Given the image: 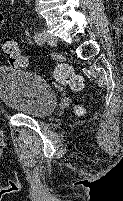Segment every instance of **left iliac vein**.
Here are the masks:
<instances>
[{
	"instance_id": "obj_1",
	"label": "left iliac vein",
	"mask_w": 123,
	"mask_h": 201,
	"mask_svg": "<svg viewBox=\"0 0 123 201\" xmlns=\"http://www.w3.org/2000/svg\"><path fill=\"white\" fill-rule=\"evenodd\" d=\"M40 34H41V36L43 38V42L46 41L51 46H56L57 45V40L53 35L48 34L46 31H43Z\"/></svg>"
}]
</instances>
